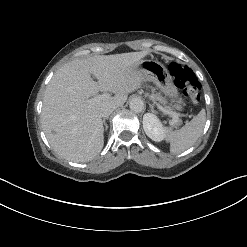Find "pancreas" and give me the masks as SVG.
<instances>
[{
	"mask_svg": "<svg viewBox=\"0 0 247 247\" xmlns=\"http://www.w3.org/2000/svg\"><path fill=\"white\" fill-rule=\"evenodd\" d=\"M149 97L155 102V103H160L162 104L164 107L163 110H164V113L166 114H169L171 116H175L176 114L172 111V108L170 106H167V101L166 99L160 94V93H154L152 91L151 94H149ZM177 122V120H176Z\"/></svg>",
	"mask_w": 247,
	"mask_h": 247,
	"instance_id": "1",
	"label": "pancreas"
}]
</instances>
